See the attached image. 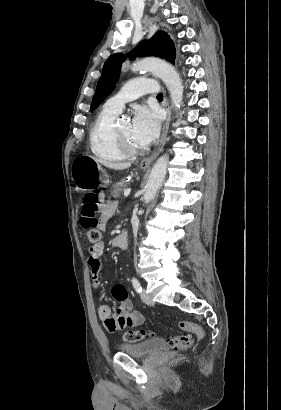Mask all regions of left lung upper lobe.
Masks as SVG:
<instances>
[{"label": "left lung upper lobe", "instance_id": "5c2ea615", "mask_svg": "<svg viewBox=\"0 0 281 410\" xmlns=\"http://www.w3.org/2000/svg\"><path fill=\"white\" fill-rule=\"evenodd\" d=\"M128 56L132 59L136 56H156L174 63L175 47L166 32L158 31L148 42H141ZM124 60L125 56L117 53L110 56L105 62L90 111H93L113 91L119 79L121 65Z\"/></svg>", "mask_w": 281, "mask_h": 410}]
</instances>
